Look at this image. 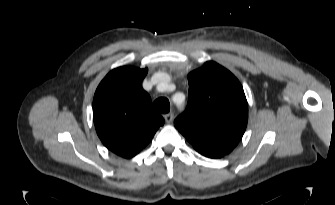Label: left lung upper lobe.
<instances>
[{
  "mask_svg": "<svg viewBox=\"0 0 335 205\" xmlns=\"http://www.w3.org/2000/svg\"><path fill=\"white\" fill-rule=\"evenodd\" d=\"M189 99L175 127L202 155L224 156L242 138L248 104L238 79L209 61L188 74Z\"/></svg>",
  "mask_w": 335,
  "mask_h": 205,
  "instance_id": "left-lung-upper-lobe-1",
  "label": "left lung upper lobe"
}]
</instances>
